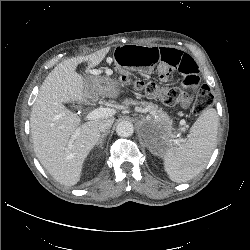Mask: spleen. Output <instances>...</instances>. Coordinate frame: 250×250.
I'll return each mask as SVG.
<instances>
[{
    "instance_id": "3e777b00",
    "label": "spleen",
    "mask_w": 250,
    "mask_h": 250,
    "mask_svg": "<svg viewBox=\"0 0 250 250\" xmlns=\"http://www.w3.org/2000/svg\"><path fill=\"white\" fill-rule=\"evenodd\" d=\"M218 125L216 110H204L185 142L162 153L164 169L172 181L187 182L204 169L216 145Z\"/></svg>"
}]
</instances>
